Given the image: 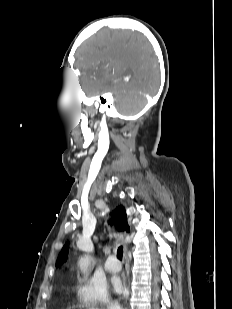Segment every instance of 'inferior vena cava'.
Here are the masks:
<instances>
[{
  "instance_id": "obj_1",
  "label": "inferior vena cava",
  "mask_w": 232,
  "mask_h": 309,
  "mask_svg": "<svg viewBox=\"0 0 232 309\" xmlns=\"http://www.w3.org/2000/svg\"><path fill=\"white\" fill-rule=\"evenodd\" d=\"M107 309H121L119 306L109 305Z\"/></svg>"
}]
</instances>
